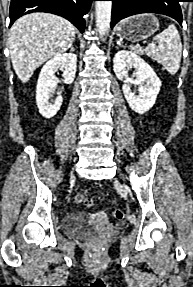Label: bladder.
Here are the masks:
<instances>
[{
  "label": "bladder",
  "instance_id": "obj_1",
  "mask_svg": "<svg viewBox=\"0 0 193 287\" xmlns=\"http://www.w3.org/2000/svg\"><path fill=\"white\" fill-rule=\"evenodd\" d=\"M62 230L68 236L84 238L98 235L100 225L94 217L87 213L70 211L63 218Z\"/></svg>",
  "mask_w": 193,
  "mask_h": 287
}]
</instances>
